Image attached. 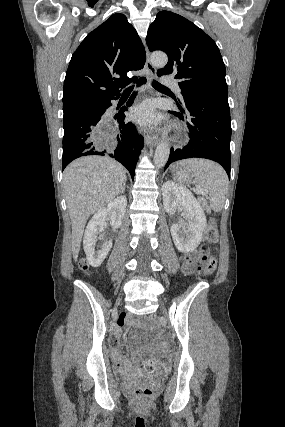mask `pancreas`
<instances>
[{
  "label": "pancreas",
  "instance_id": "cf45deb5",
  "mask_svg": "<svg viewBox=\"0 0 285 427\" xmlns=\"http://www.w3.org/2000/svg\"><path fill=\"white\" fill-rule=\"evenodd\" d=\"M199 202L202 204V206L204 207V209L209 213V212H210V209H209V206L207 205L206 200H204V199H199Z\"/></svg>",
  "mask_w": 285,
  "mask_h": 427
}]
</instances>
